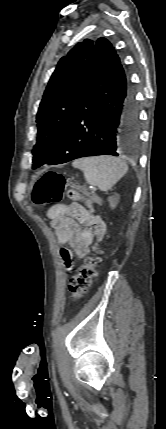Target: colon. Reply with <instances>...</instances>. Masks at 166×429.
<instances>
[{"label":"colon","instance_id":"1","mask_svg":"<svg viewBox=\"0 0 166 429\" xmlns=\"http://www.w3.org/2000/svg\"><path fill=\"white\" fill-rule=\"evenodd\" d=\"M65 196L72 200L90 205L100 204L99 199L93 194H84L72 186L60 173L48 171L36 182L32 200L37 205H46L60 202ZM102 250L97 246L94 253L79 267L77 273L68 284L69 297L72 300L79 299L87 294L96 274V268L100 264Z\"/></svg>","mask_w":166,"mask_h":429}]
</instances>
